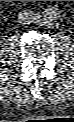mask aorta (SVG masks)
<instances>
[{
  "label": "aorta",
  "instance_id": "obj_1",
  "mask_svg": "<svg viewBox=\"0 0 74 122\" xmlns=\"http://www.w3.org/2000/svg\"><path fill=\"white\" fill-rule=\"evenodd\" d=\"M45 19L47 22H53V21H55L56 17H55V15H51L48 13V14H45Z\"/></svg>",
  "mask_w": 74,
  "mask_h": 122
}]
</instances>
